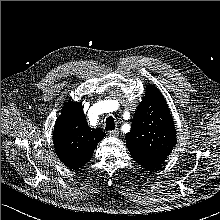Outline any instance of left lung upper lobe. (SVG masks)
<instances>
[{
    "label": "left lung upper lobe",
    "instance_id": "1",
    "mask_svg": "<svg viewBox=\"0 0 220 220\" xmlns=\"http://www.w3.org/2000/svg\"><path fill=\"white\" fill-rule=\"evenodd\" d=\"M126 143L133 159L146 169L164 163L176 145L174 121L161 92L148 85L126 134Z\"/></svg>",
    "mask_w": 220,
    "mask_h": 220
}]
</instances>
